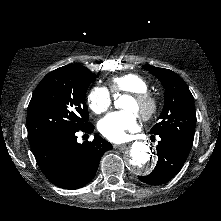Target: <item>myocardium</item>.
<instances>
[{"label":"myocardium","instance_id":"f54148a6","mask_svg":"<svg viewBox=\"0 0 221 221\" xmlns=\"http://www.w3.org/2000/svg\"><path fill=\"white\" fill-rule=\"evenodd\" d=\"M131 98L138 105V117L143 121L150 120L158 110V101L150 92L131 93Z\"/></svg>","mask_w":221,"mask_h":221}]
</instances>
